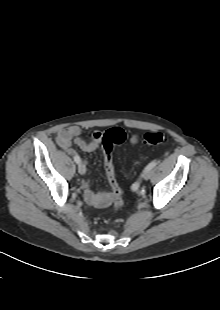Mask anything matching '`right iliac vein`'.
Returning <instances> with one entry per match:
<instances>
[{"mask_svg":"<svg viewBox=\"0 0 220 310\" xmlns=\"http://www.w3.org/2000/svg\"><path fill=\"white\" fill-rule=\"evenodd\" d=\"M78 172L81 174V175H84L86 173V167L83 163H79L78 165Z\"/></svg>","mask_w":220,"mask_h":310,"instance_id":"right-iliac-vein-1","label":"right iliac vein"}]
</instances>
